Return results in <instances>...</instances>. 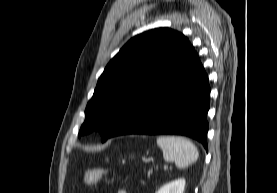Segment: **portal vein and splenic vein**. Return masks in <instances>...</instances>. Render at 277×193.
Segmentation results:
<instances>
[{"instance_id":"18ae733b","label":"portal vein and splenic vein","mask_w":277,"mask_h":193,"mask_svg":"<svg viewBox=\"0 0 277 193\" xmlns=\"http://www.w3.org/2000/svg\"><path fill=\"white\" fill-rule=\"evenodd\" d=\"M168 169V166L167 165H164V170Z\"/></svg>"}]
</instances>
